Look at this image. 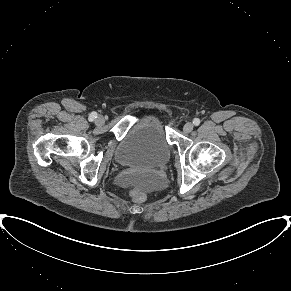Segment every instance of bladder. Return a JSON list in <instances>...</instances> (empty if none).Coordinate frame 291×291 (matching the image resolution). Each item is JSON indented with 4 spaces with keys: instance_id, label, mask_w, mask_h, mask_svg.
<instances>
[{
    "instance_id": "obj_1",
    "label": "bladder",
    "mask_w": 291,
    "mask_h": 291,
    "mask_svg": "<svg viewBox=\"0 0 291 291\" xmlns=\"http://www.w3.org/2000/svg\"><path fill=\"white\" fill-rule=\"evenodd\" d=\"M171 146L161 121L144 116L136 122L118 144L115 160L123 166L159 168L168 163Z\"/></svg>"
}]
</instances>
